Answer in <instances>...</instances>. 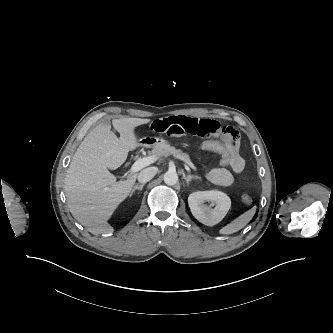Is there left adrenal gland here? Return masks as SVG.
Wrapping results in <instances>:
<instances>
[{
    "mask_svg": "<svg viewBox=\"0 0 333 333\" xmlns=\"http://www.w3.org/2000/svg\"><path fill=\"white\" fill-rule=\"evenodd\" d=\"M183 178L184 180L186 181L187 185H189V182L192 180V179H201L199 176H193V175H184L183 174Z\"/></svg>",
    "mask_w": 333,
    "mask_h": 333,
    "instance_id": "obj_1",
    "label": "left adrenal gland"
}]
</instances>
